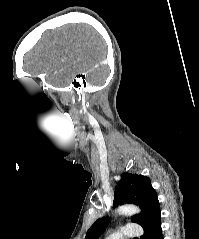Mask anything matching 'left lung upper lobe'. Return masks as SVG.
<instances>
[{
  "instance_id": "obj_1",
  "label": "left lung upper lobe",
  "mask_w": 199,
  "mask_h": 239,
  "mask_svg": "<svg viewBox=\"0 0 199 239\" xmlns=\"http://www.w3.org/2000/svg\"><path fill=\"white\" fill-rule=\"evenodd\" d=\"M134 203L141 208V213L132 216L131 221L145 227L152 217L160 211L156 191L148 177L123 173L118 182L113 205ZM109 223L108 218L98 219L87 231L85 239H98Z\"/></svg>"
}]
</instances>
